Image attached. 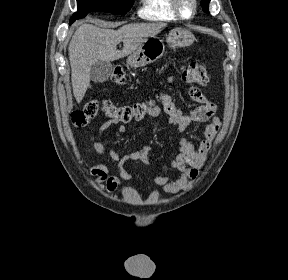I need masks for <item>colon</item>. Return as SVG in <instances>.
Segmentation results:
<instances>
[{"label":"colon","mask_w":288,"mask_h":280,"mask_svg":"<svg viewBox=\"0 0 288 280\" xmlns=\"http://www.w3.org/2000/svg\"><path fill=\"white\" fill-rule=\"evenodd\" d=\"M182 78L189 83L197 85H206L209 82V76L206 66L191 61L181 70ZM126 79V73L122 66H116L112 73V80L117 84H123ZM152 107L145 103H136L134 105L116 106L109 100H92L88 102L82 110L72 112V122L82 127L87 125L95 118L99 109H101L108 117L117 121L127 123L131 120H138L147 115L148 109Z\"/></svg>","instance_id":"1"}]
</instances>
